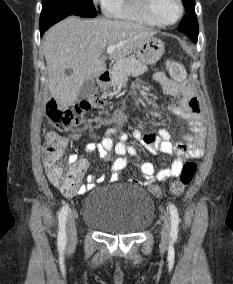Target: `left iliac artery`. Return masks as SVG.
<instances>
[{"label": "left iliac artery", "mask_w": 233, "mask_h": 284, "mask_svg": "<svg viewBox=\"0 0 233 284\" xmlns=\"http://www.w3.org/2000/svg\"><path fill=\"white\" fill-rule=\"evenodd\" d=\"M170 216H171V237L173 240L177 239L178 225H179V214L174 204L169 205Z\"/></svg>", "instance_id": "44dca946"}]
</instances>
